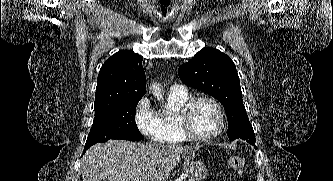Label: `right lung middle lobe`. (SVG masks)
Masks as SVG:
<instances>
[{
  "label": "right lung middle lobe",
  "mask_w": 333,
  "mask_h": 181,
  "mask_svg": "<svg viewBox=\"0 0 333 181\" xmlns=\"http://www.w3.org/2000/svg\"><path fill=\"white\" fill-rule=\"evenodd\" d=\"M139 100H133L95 109V118L85 147L110 139L137 141L143 139L135 122Z\"/></svg>",
  "instance_id": "obj_1"
}]
</instances>
